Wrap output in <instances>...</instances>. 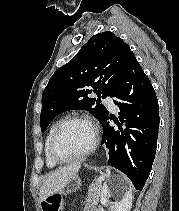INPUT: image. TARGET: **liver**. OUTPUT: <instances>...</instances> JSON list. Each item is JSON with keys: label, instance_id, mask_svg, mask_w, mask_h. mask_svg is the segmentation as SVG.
Segmentation results:
<instances>
[{"label": "liver", "instance_id": "obj_1", "mask_svg": "<svg viewBox=\"0 0 179 211\" xmlns=\"http://www.w3.org/2000/svg\"><path fill=\"white\" fill-rule=\"evenodd\" d=\"M80 167L81 163H75L51 172L40 188V200L43 201L61 190L66 182L78 173Z\"/></svg>", "mask_w": 179, "mask_h": 211}]
</instances>
